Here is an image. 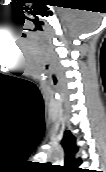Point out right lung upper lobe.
Wrapping results in <instances>:
<instances>
[{
    "instance_id": "1",
    "label": "right lung upper lobe",
    "mask_w": 106,
    "mask_h": 172,
    "mask_svg": "<svg viewBox=\"0 0 106 172\" xmlns=\"http://www.w3.org/2000/svg\"><path fill=\"white\" fill-rule=\"evenodd\" d=\"M61 144L65 150V171L77 172L76 167L79 166L82 161L80 158L76 159L78 147L75 143V137L69 130L65 131Z\"/></svg>"
}]
</instances>
